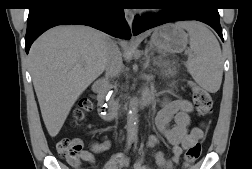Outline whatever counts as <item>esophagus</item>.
<instances>
[{"mask_svg": "<svg viewBox=\"0 0 252 169\" xmlns=\"http://www.w3.org/2000/svg\"><path fill=\"white\" fill-rule=\"evenodd\" d=\"M124 13H125V18L129 27L132 28L133 21H134V13L129 9H126Z\"/></svg>", "mask_w": 252, "mask_h": 169, "instance_id": "1", "label": "esophagus"}]
</instances>
